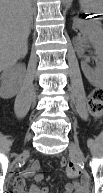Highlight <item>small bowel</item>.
I'll return each instance as SVG.
<instances>
[{"label":"small bowel","mask_w":103,"mask_h":193,"mask_svg":"<svg viewBox=\"0 0 103 193\" xmlns=\"http://www.w3.org/2000/svg\"><path fill=\"white\" fill-rule=\"evenodd\" d=\"M40 171V163L34 161L30 166L21 172V174L13 180V192L14 193H50L48 187L40 188L38 185L31 183L29 190L25 191V181H30L31 178H35L37 181L42 180V176L38 174ZM88 180L83 178L80 182L72 181L68 182L64 186L63 193H87L88 192Z\"/></svg>","instance_id":"obj_1"}]
</instances>
